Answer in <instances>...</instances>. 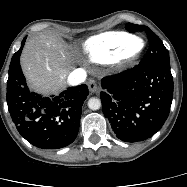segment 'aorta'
Returning <instances> with one entry per match:
<instances>
[{
  "label": "aorta",
  "instance_id": "aorta-1",
  "mask_svg": "<svg viewBox=\"0 0 187 187\" xmlns=\"http://www.w3.org/2000/svg\"><path fill=\"white\" fill-rule=\"evenodd\" d=\"M88 107L93 111L98 110L101 107V101L98 98L92 97L88 100Z\"/></svg>",
  "mask_w": 187,
  "mask_h": 187
}]
</instances>
